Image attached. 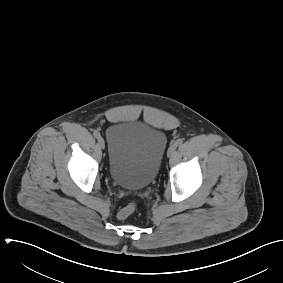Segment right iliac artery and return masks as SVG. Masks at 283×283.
Instances as JSON below:
<instances>
[{
	"instance_id": "1",
	"label": "right iliac artery",
	"mask_w": 283,
	"mask_h": 283,
	"mask_svg": "<svg viewBox=\"0 0 283 283\" xmlns=\"http://www.w3.org/2000/svg\"><path fill=\"white\" fill-rule=\"evenodd\" d=\"M93 135L95 138L99 139L101 137L100 133L98 131H94Z\"/></svg>"
}]
</instances>
